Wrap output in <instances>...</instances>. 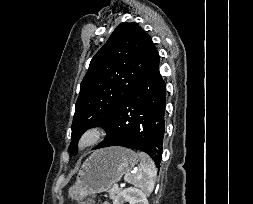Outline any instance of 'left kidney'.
Returning <instances> with one entry per match:
<instances>
[{"mask_svg":"<svg viewBox=\"0 0 253 204\" xmlns=\"http://www.w3.org/2000/svg\"><path fill=\"white\" fill-rule=\"evenodd\" d=\"M149 204L146 194L137 188L129 187L121 191L114 199L113 204Z\"/></svg>","mask_w":253,"mask_h":204,"instance_id":"5707ae66","label":"left kidney"}]
</instances>
